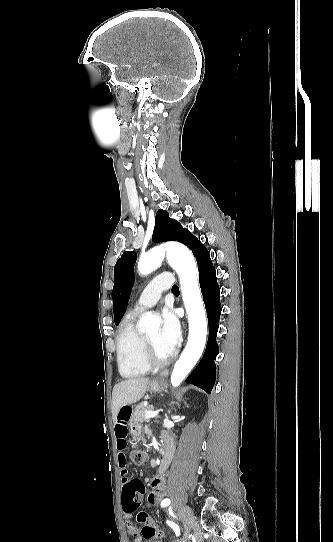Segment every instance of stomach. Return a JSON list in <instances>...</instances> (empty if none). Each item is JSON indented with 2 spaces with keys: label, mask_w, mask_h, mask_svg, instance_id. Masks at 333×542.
I'll return each instance as SVG.
<instances>
[{
  "label": "stomach",
  "mask_w": 333,
  "mask_h": 542,
  "mask_svg": "<svg viewBox=\"0 0 333 542\" xmlns=\"http://www.w3.org/2000/svg\"><path fill=\"white\" fill-rule=\"evenodd\" d=\"M167 384L165 382V380H152V382H149L148 384V388L150 390V392H155V394H157V392H162V390H164V388H166ZM131 420H133V418H129V428L131 430V436H132V439L133 440H140L141 439V425L140 424H137V423H134L131 422Z\"/></svg>",
  "instance_id": "0dacf381"
}]
</instances>
